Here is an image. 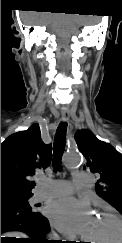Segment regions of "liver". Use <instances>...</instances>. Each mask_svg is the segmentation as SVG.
Returning a JSON list of instances; mask_svg holds the SVG:
<instances>
[{
  "label": "liver",
  "mask_w": 122,
  "mask_h": 243,
  "mask_svg": "<svg viewBox=\"0 0 122 243\" xmlns=\"http://www.w3.org/2000/svg\"><path fill=\"white\" fill-rule=\"evenodd\" d=\"M5 235L8 236H4V237L26 238V235L20 232H10V233H6Z\"/></svg>",
  "instance_id": "obj_1"
}]
</instances>
